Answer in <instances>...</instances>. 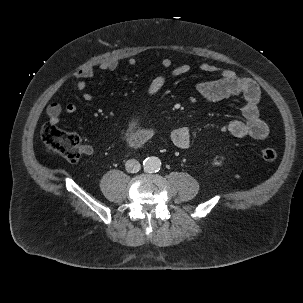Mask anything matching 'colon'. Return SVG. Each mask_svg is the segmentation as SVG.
Wrapping results in <instances>:
<instances>
[{
    "label": "colon",
    "mask_w": 303,
    "mask_h": 303,
    "mask_svg": "<svg viewBox=\"0 0 303 303\" xmlns=\"http://www.w3.org/2000/svg\"><path fill=\"white\" fill-rule=\"evenodd\" d=\"M41 139L49 149L61 154L70 162L80 161L82 148L76 133L60 129L49 122L41 129ZM260 156L263 160L272 162L277 158V152L272 147H264L260 151Z\"/></svg>",
    "instance_id": "colon-1"
}]
</instances>
